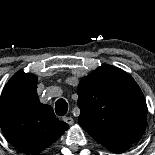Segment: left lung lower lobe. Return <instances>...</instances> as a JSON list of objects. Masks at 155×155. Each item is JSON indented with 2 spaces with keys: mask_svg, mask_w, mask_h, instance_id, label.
<instances>
[{
  "mask_svg": "<svg viewBox=\"0 0 155 155\" xmlns=\"http://www.w3.org/2000/svg\"><path fill=\"white\" fill-rule=\"evenodd\" d=\"M129 148H130V147H129ZM129 148L117 149V150H114V151H112V152H118V153H120V152H123V151H125V150H127V149H129Z\"/></svg>",
  "mask_w": 155,
  "mask_h": 155,
  "instance_id": "obj_1",
  "label": "left lung lower lobe"
}]
</instances>
